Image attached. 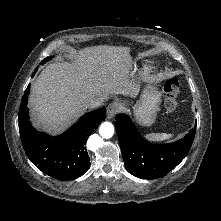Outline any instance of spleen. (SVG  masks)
<instances>
[{
  "mask_svg": "<svg viewBox=\"0 0 221 221\" xmlns=\"http://www.w3.org/2000/svg\"><path fill=\"white\" fill-rule=\"evenodd\" d=\"M145 137L150 141H164L166 139H169L172 137V134H166V133H151L145 135Z\"/></svg>",
  "mask_w": 221,
  "mask_h": 221,
  "instance_id": "spleen-1",
  "label": "spleen"
}]
</instances>
